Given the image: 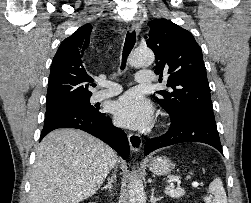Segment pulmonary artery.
I'll use <instances>...</instances> for the list:
<instances>
[{"mask_svg":"<svg viewBox=\"0 0 251 203\" xmlns=\"http://www.w3.org/2000/svg\"><path fill=\"white\" fill-rule=\"evenodd\" d=\"M136 81L138 83H151L154 81V74L152 71L139 72L136 75ZM107 89L100 90L93 94L92 100L94 102L102 101L104 99L113 97L122 91V87L113 82H107Z\"/></svg>","mask_w":251,"mask_h":203,"instance_id":"pulmonary-artery-1","label":"pulmonary artery"}]
</instances>
